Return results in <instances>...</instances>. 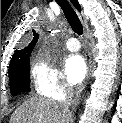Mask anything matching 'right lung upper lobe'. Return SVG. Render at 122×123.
Masks as SVG:
<instances>
[{
    "label": "right lung upper lobe",
    "instance_id": "1",
    "mask_svg": "<svg viewBox=\"0 0 122 123\" xmlns=\"http://www.w3.org/2000/svg\"><path fill=\"white\" fill-rule=\"evenodd\" d=\"M71 2L78 10H80V6H79L77 0H71ZM33 34H34V38H33L32 42L28 45V47H26L22 50H15V53L10 61L9 70L19 66L24 61L29 60L31 51L34 48V46L38 40V37H39V35L36 34L35 31H33Z\"/></svg>",
    "mask_w": 122,
    "mask_h": 123
}]
</instances>
